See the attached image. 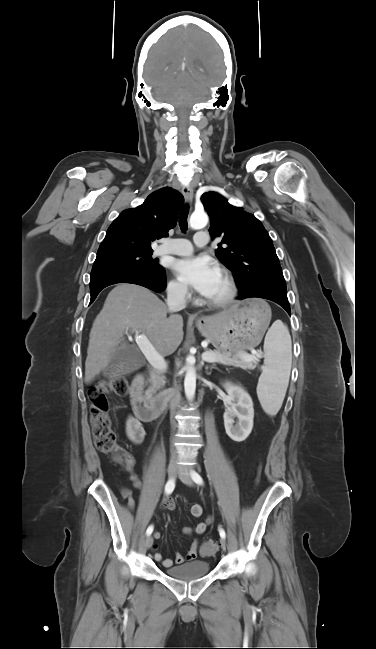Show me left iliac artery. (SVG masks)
I'll list each match as a JSON object with an SVG mask.
<instances>
[{"instance_id": "obj_1", "label": "left iliac artery", "mask_w": 376, "mask_h": 649, "mask_svg": "<svg viewBox=\"0 0 376 649\" xmlns=\"http://www.w3.org/2000/svg\"><path fill=\"white\" fill-rule=\"evenodd\" d=\"M191 477L193 481L199 485L203 484V479L202 477L195 471H191ZM219 534L222 538H225L226 534L223 528H219Z\"/></svg>"}]
</instances>
